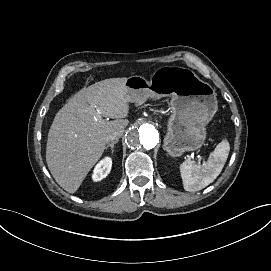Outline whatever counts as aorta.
<instances>
[{
    "instance_id": "1",
    "label": "aorta",
    "mask_w": 271,
    "mask_h": 271,
    "mask_svg": "<svg viewBox=\"0 0 271 271\" xmlns=\"http://www.w3.org/2000/svg\"><path fill=\"white\" fill-rule=\"evenodd\" d=\"M125 141L131 149L137 151L151 150L159 142V133L149 121L139 119L128 129Z\"/></svg>"
}]
</instances>
